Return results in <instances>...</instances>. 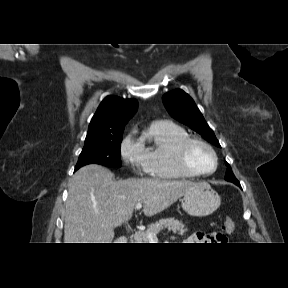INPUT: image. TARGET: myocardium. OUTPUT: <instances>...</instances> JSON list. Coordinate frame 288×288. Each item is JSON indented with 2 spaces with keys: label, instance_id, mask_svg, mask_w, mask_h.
Wrapping results in <instances>:
<instances>
[{
  "label": "myocardium",
  "instance_id": "f54148a6",
  "mask_svg": "<svg viewBox=\"0 0 288 288\" xmlns=\"http://www.w3.org/2000/svg\"><path fill=\"white\" fill-rule=\"evenodd\" d=\"M193 145H201L205 147L207 150H209L215 161L213 170L209 172L199 171L190 164L188 154L190 148ZM176 156H177V162L181 167V169L184 170L186 173L196 177H206L213 175L217 171L219 166V158L215 149L208 142L196 137H187L184 140H182L177 146Z\"/></svg>",
  "mask_w": 288,
  "mask_h": 288
}]
</instances>
